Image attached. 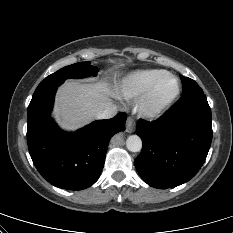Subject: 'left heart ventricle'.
Segmentation results:
<instances>
[{
	"mask_svg": "<svg viewBox=\"0 0 233 233\" xmlns=\"http://www.w3.org/2000/svg\"><path fill=\"white\" fill-rule=\"evenodd\" d=\"M174 89H175V82L170 78L164 79L157 89L156 97H155L156 101L157 102L163 101L173 93Z\"/></svg>",
	"mask_w": 233,
	"mask_h": 233,
	"instance_id": "obj_1",
	"label": "left heart ventricle"
}]
</instances>
